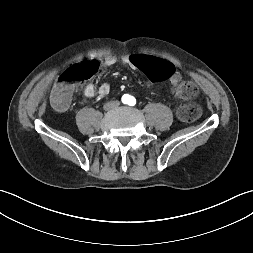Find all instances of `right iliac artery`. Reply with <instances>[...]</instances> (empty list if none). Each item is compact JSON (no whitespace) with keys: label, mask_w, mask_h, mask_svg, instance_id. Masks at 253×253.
Instances as JSON below:
<instances>
[{"label":"right iliac artery","mask_w":253,"mask_h":253,"mask_svg":"<svg viewBox=\"0 0 253 253\" xmlns=\"http://www.w3.org/2000/svg\"><path fill=\"white\" fill-rule=\"evenodd\" d=\"M123 101H124V103H127L128 97H124V98H123Z\"/></svg>","instance_id":"1"}]
</instances>
